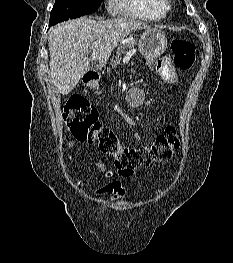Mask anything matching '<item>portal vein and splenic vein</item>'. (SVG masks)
Here are the masks:
<instances>
[{"mask_svg":"<svg viewBox=\"0 0 233 263\" xmlns=\"http://www.w3.org/2000/svg\"><path fill=\"white\" fill-rule=\"evenodd\" d=\"M93 46H94V45H92V47L90 48V50L93 48ZM134 52H135V50L132 51V53H134Z\"/></svg>","mask_w":233,"mask_h":263,"instance_id":"18ae733b","label":"portal vein and splenic vein"}]
</instances>
